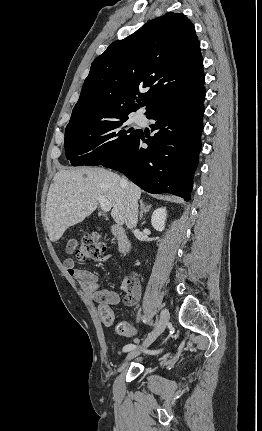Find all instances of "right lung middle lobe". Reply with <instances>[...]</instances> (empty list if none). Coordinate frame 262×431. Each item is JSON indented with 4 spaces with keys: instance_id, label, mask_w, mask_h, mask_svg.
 I'll return each mask as SVG.
<instances>
[{
    "instance_id": "right-lung-middle-lobe-1",
    "label": "right lung middle lobe",
    "mask_w": 262,
    "mask_h": 431,
    "mask_svg": "<svg viewBox=\"0 0 262 431\" xmlns=\"http://www.w3.org/2000/svg\"><path fill=\"white\" fill-rule=\"evenodd\" d=\"M127 120L128 115L67 125L64 144L71 165H101L120 154L139 134Z\"/></svg>"
}]
</instances>
